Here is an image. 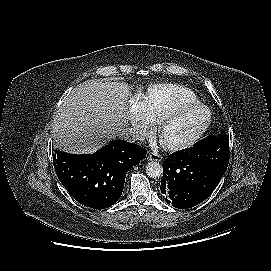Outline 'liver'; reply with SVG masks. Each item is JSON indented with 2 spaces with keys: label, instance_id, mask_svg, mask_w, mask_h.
I'll list each match as a JSON object with an SVG mask.
<instances>
[{
  "label": "liver",
  "instance_id": "6515ba94",
  "mask_svg": "<svg viewBox=\"0 0 271 271\" xmlns=\"http://www.w3.org/2000/svg\"><path fill=\"white\" fill-rule=\"evenodd\" d=\"M130 86L89 80L79 84L58 109L55 146L74 154L93 153L114 140L128 124Z\"/></svg>",
  "mask_w": 271,
  "mask_h": 271
}]
</instances>
